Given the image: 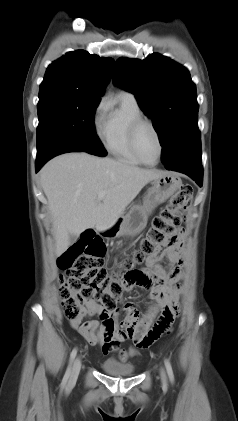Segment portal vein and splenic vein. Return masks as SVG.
Masks as SVG:
<instances>
[{"mask_svg":"<svg viewBox=\"0 0 238 421\" xmlns=\"http://www.w3.org/2000/svg\"><path fill=\"white\" fill-rule=\"evenodd\" d=\"M104 197V192H99L98 194V201H101Z\"/></svg>","mask_w":238,"mask_h":421,"instance_id":"1","label":"portal vein and splenic vein"}]
</instances>
